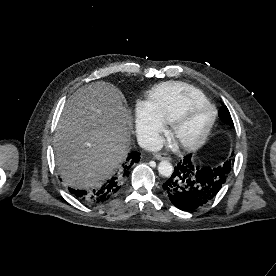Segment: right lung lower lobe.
Masks as SVG:
<instances>
[{
	"mask_svg": "<svg viewBox=\"0 0 276 276\" xmlns=\"http://www.w3.org/2000/svg\"><path fill=\"white\" fill-rule=\"evenodd\" d=\"M140 160V153L134 151L129 153L121 168L102 187L92 191L76 190L69 188V191L79 200L87 203H102L113 196L125 183L130 170Z\"/></svg>",
	"mask_w": 276,
	"mask_h": 276,
	"instance_id": "obj_1",
	"label": "right lung lower lobe"
}]
</instances>
